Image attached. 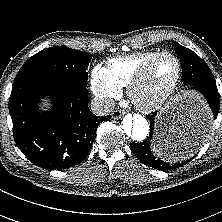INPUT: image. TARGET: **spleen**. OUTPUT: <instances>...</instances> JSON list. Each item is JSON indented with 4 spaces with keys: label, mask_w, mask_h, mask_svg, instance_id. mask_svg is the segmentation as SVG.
Masks as SVG:
<instances>
[{
    "label": "spleen",
    "mask_w": 222,
    "mask_h": 222,
    "mask_svg": "<svg viewBox=\"0 0 222 222\" xmlns=\"http://www.w3.org/2000/svg\"><path fill=\"white\" fill-rule=\"evenodd\" d=\"M152 150L157 154V156H159L160 158L164 160H167L168 162H172V161L177 162L185 158V156H182V155H176L174 153L172 154L165 153L163 152V149L161 148V146L155 143L152 146Z\"/></svg>",
    "instance_id": "1"
}]
</instances>
